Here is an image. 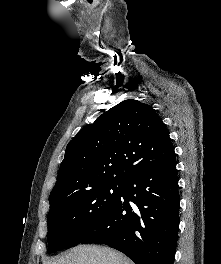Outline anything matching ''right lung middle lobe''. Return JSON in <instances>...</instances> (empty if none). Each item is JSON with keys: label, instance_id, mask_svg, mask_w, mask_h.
<instances>
[{"label": "right lung middle lobe", "instance_id": "dd1d6c3e", "mask_svg": "<svg viewBox=\"0 0 221 264\" xmlns=\"http://www.w3.org/2000/svg\"><path fill=\"white\" fill-rule=\"evenodd\" d=\"M123 182L109 183L67 197L49 211L48 253L78 245L116 206Z\"/></svg>", "mask_w": 221, "mask_h": 264}]
</instances>
